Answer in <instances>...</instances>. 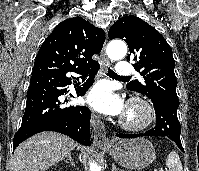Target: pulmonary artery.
<instances>
[{"label":"pulmonary artery","instance_id":"pulmonary-artery-1","mask_svg":"<svg viewBox=\"0 0 199 171\" xmlns=\"http://www.w3.org/2000/svg\"><path fill=\"white\" fill-rule=\"evenodd\" d=\"M134 72V67L126 62V61H121L117 64L116 67V73L120 76H129L133 74Z\"/></svg>","mask_w":199,"mask_h":171}]
</instances>
